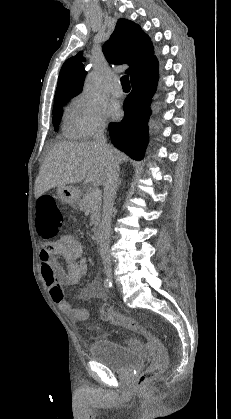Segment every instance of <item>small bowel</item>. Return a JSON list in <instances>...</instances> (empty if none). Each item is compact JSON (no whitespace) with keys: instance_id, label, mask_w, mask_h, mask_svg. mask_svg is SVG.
<instances>
[{"instance_id":"1","label":"small bowel","mask_w":231,"mask_h":419,"mask_svg":"<svg viewBox=\"0 0 231 419\" xmlns=\"http://www.w3.org/2000/svg\"><path fill=\"white\" fill-rule=\"evenodd\" d=\"M83 244L72 235H64L58 240L44 243L41 246L39 259L41 273L50 295L56 306L64 313L76 320H86L89 312L86 309L74 308L65 299L63 287L77 285L88 271V260L82 257ZM58 256L63 257L67 267L64 268L58 261ZM105 291L98 279H94L87 285L82 293L83 299H104ZM130 343L136 342L130 339Z\"/></svg>"}]
</instances>
